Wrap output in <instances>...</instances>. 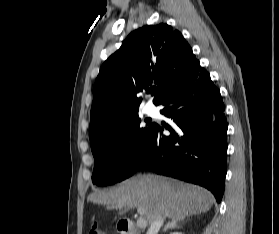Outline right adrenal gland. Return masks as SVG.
Segmentation results:
<instances>
[{
    "label": "right adrenal gland",
    "instance_id": "1",
    "mask_svg": "<svg viewBox=\"0 0 279 234\" xmlns=\"http://www.w3.org/2000/svg\"><path fill=\"white\" fill-rule=\"evenodd\" d=\"M180 221H183V219H173L172 221L168 222L163 228H162V232H166L168 229H174L176 227H178V223Z\"/></svg>",
    "mask_w": 279,
    "mask_h": 234
}]
</instances>
